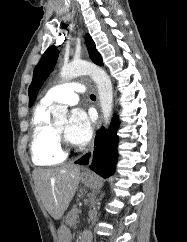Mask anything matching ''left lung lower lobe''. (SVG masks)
Returning a JSON list of instances; mask_svg holds the SVG:
<instances>
[{
  "instance_id": "left-lung-lower-lobe-1",
  "label": "left lung lower lobe",
  "mask_w": 187,
  "mask_h": 242,
  "mask_svg": "<svg viewBox=\"0 0 187 242\" xmlns=\"http://www.w3.org/2000/svg\"><path fill=\"white\" fill-rule=\"evenodd\" d=\"M119 124L114 120L108 131L102 127L96 133L95 146L92 153L84 155L75 163L89 165L90 169L104 178L114 174L118 158V137L116 131Z\"/></svg>"
}]
</instances>
